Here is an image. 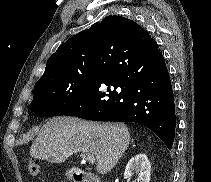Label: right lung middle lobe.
<instances>
[{"label":"right lung middle lobe","mask_w":211,"mask_h":182,"mask_svg":"<svg viewBox=\"0 0 211 182\" xmlns=\"http://www.w3.org/2000/svg\"><path fill=\"white\" fill-rule=\"evenodd\" d=\"M93 71L90 65L35 84L30 110L42 117L60 116L87 88Z\"/></svg>","instance_id":"1"}]
</instances>
